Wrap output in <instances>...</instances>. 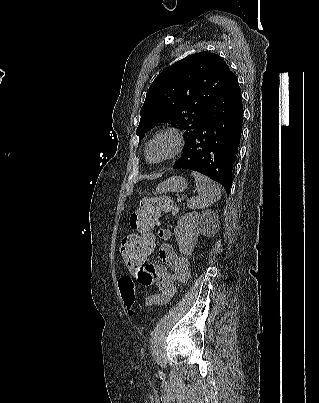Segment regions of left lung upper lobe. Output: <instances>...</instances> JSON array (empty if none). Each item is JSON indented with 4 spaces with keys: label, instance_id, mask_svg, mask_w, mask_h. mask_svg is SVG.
Listing matches in <instances>:
<instances>
[{
    "label": "left lung upper lobe",
    "instance_id": "5c2ea615",
    "mask_svg": "<svg viewBox=\"0 0 319 403\" xmlns=\"http://www.w3.org/2000/svg\"><path fill=\"white\" fill-rule=\"evenodd\" d=\"M230 73L226 62L210 52L189 55L166 68L147 91L136 130L139 139L156 124L171 123L186 130V148Z\"/></svg>",
    "mask_w": 319,
    "mask_h": 403
}]
</instances>
